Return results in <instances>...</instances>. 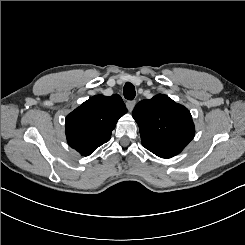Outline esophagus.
<instances>
[{
  "label": "esophagus",
  "instance_id": "1",
  "mask_svg": "<svg viewBox=\"0 0 245 245\" xmlns=\"http://www.w3.org/2000/svg\"><path fill=\"white\" fill-rule=\"evenodd\" d=\"M135 104H136V101H134V100L127 101V103H126L127 109L131 112L133 110Z\"/></svg>",
  "mask_w": 245,
  "mask_h": 245
}]
</instances>
